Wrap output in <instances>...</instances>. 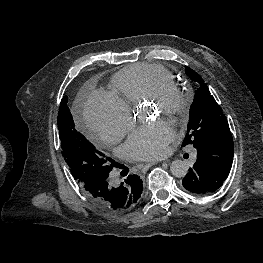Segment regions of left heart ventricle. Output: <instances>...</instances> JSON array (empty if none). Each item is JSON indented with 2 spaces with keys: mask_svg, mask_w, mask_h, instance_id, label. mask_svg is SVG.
I'll list each match as a JSON object with an SVG mask.
<instances>
[{
  "mask_svg": "<svg viewBox=\"0 0 263 263\" xmlns=\"http://www.w3.org/2000/svg\"><path fill=\"white\" fill-rule=\"evenodd\" d=\"M151 110L154 111V113H157L159 111L158 108L154 105L151 107Z\"/></svg>",
  "mask_w": 263,
  "mask_h": 263,
  "instance_id": "1",
  "label": "left heart ventricle"
}]
</instances>
